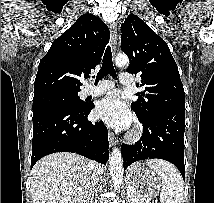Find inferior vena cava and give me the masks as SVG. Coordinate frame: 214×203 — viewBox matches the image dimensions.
I'll return each instance as SVG.
<instances>
[{
    "label": "inferior vena cava",
    "mask_w": 214,
    "mask_h": 203,
    "mask_svg": "<svg viewBox=\"0 0 214 203\" xmlns=\"http://www.w3.org/2000/svg\"><path fill=\"white\" fill-rule=\"evenodd\" d=\"M90 164H91V166H92L93 169H94V172H93L92 177H91V179H92V187L94 188V186H95V185L98 183V181H99V175L102 173V168H101V166H100L99 164H97V163L91 162Z\"/></svg>",
    "instance_id": "602c4592"
}]
</instances>
